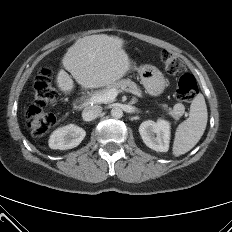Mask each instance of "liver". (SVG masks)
Masks as SVG:
<instances>
[{
  "label": "liver",
  "instance_id": "1",
  "mask_svg": "<svg viewBox=\"0 0 232 232\" xmlns=\"http://www.w3.org/2000/svg\"><path fill=\"white\" fill-rule=\"evenodd\" d=\"M123 44L124 41L116 36H85L68 48L61 63L82 88L107 87L116 83L131 68ZM56 84L65 94L75 87L71 76L63 69L56 76Z\"/></svg>",
  "mask_w": 232,
  "mask_h": 232
}]
</instances>
